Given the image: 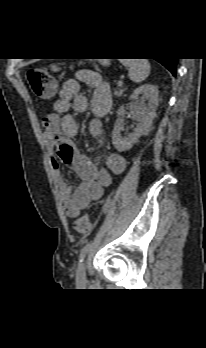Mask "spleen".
Segmentation results:
<instances>
[{
    "instance_id": "3e777b00",
    "label": "spleen",
    "mask_w": 206,
    "mask_h": 348,
    "mask_svg": "<svg viewBox=\"0 0 206 348\" xmlns=\"http://www.w3.org/2000/svg\"><path fill=\"white\" fill-rule=\"evenodd\" d=\"M121 63L128 68L129 78L135 83H141L150 73L147 59H122Z\"/></svg>"
}]
</instances>
